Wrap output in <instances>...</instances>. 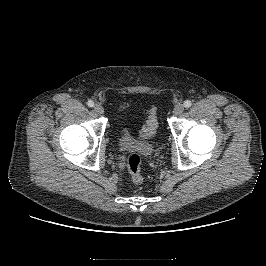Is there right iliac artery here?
I'll return each instance as SVG.
<instances>
[{"label":"right iliac artery","mask_w":266,"mask_h":266,"mask_svg":"<svg viewBox=\"0 0 266 266\" xmlns=\"http://www.w3.org/2000/svg\"><path fill=\"white\" fill-rule=\"evenodd\" d=\"M87 105H88L89 107H93V106H94V102H93L92 100H89V101L87 102Z\"/></svg>","instance_id":"82829eb1"}]
</instances>
